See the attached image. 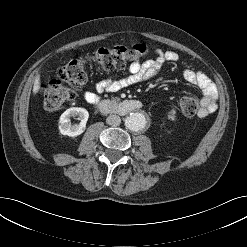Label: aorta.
<instances>
[{"label":"aorta","instance_id":"obj_1","mask_svg":"<svg viewBox=\"0 0 247 247\" xmlns=\"http://www.w3.org/2000/svg\"><path fill=\"white\" fill-rule=\"evenodd\" d=\"M147 120L140 112L130 113L125 119V126L132 131H140L145 128Z\"/></svg>","mask_w":247,"mask_h":247}]
</instances>
